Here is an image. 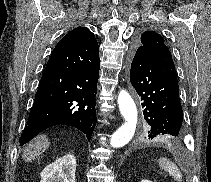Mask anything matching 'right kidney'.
<instances>
[{
  "label": "right kidney",
  "instance_id": "right-kidney-1",
  "mask_svg": "<svg viewBox=\"0 0 211 182\" xmlns=\"http://www.w3.org/2000/svg\"><path fill=\"white\" fill-rule=\"evenodd\" d=\"M75 171L76 158L67 154L44 168L40 182H75Z\"/></svg>",
  "mask_w": 211,
  "mask_h": 182
}]
</instances>
